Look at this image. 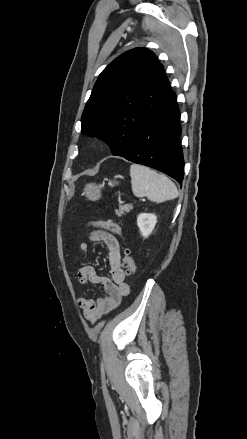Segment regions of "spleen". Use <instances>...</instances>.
Masks as SVG:
<instances>
[{
  "mask_svg": "<svg viewBox=\"0 0 247 439\" xmlns=\"http://www.w3.org/2000/svg\"><path fill=\"white\" fill-rule=\"evenodd\" d=\"M132 192L136 197L146 196L150 201L162 203L178 196L176 185L164 174L148 167L130 166Z\"/></svg>",
  "mask_w": 247,
  "mask_h": 439,
  "instance_id": "3e777b00",
  "label": "spleen"
}]
</instances>
